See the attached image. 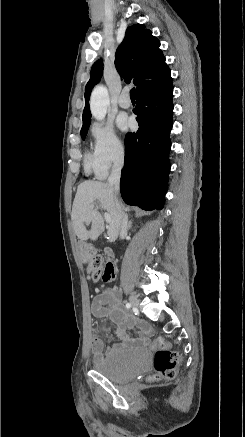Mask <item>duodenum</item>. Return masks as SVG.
Instances as JSON below:
<instances>
[{"label": "duodenum", "instance_id": "duodenum-1", "mask_svg": "<svg viewBox=\"0 0 245 437\" xmlns=\"http://www.w3.org/2000/svg\"><path fill=\"white\" fill-rule=\"evenodd\" d=\"M105 253H106V255L109 256V257L112 256V252H111V250H109V249H106V250H105Z\"/></svg>", "mask_w": 245, "mask_h": 437}]
</instances>
